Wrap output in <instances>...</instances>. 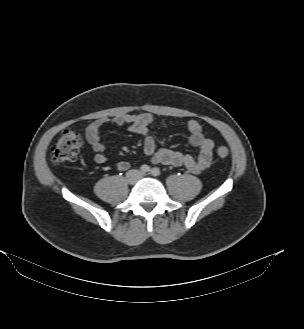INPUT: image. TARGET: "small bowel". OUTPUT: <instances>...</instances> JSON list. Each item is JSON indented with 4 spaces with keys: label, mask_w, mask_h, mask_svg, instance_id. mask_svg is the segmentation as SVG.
Returning <instances> with one entry per match:
<instances>
[{
    "label": "small bowel",
    "mask_w": 304,
    "mask_h": 329,
    "mask_svg": "<svg viewBox=\"0 0 304 329\" xmlns=\"http://www.w3.org/2000/svg\"><path fill=\"white\" fill-rule=\"evenodd\" d=\"M152 123L153 116L150 113L121 114L111 119L93 121L84 128V134L94 154V161L98 164H104L109 159L105 154V146L100 141V132L104 125L112 124L125 126L130 132L141 136L144 153L155 164L184 166L192 173H201L211 165L214 143L211 139L204 136L202 127L197 121L190 120L186 123L189 141L199 149L197 157L168 148H158L153 136L150 134ZM162 126L169 127L170 124L163 123ZM129 166V162L120 161L117 164V169L125 171Z\"/></svg>",
    "instance_id": "small-bowel-1"
}]
</instances>
